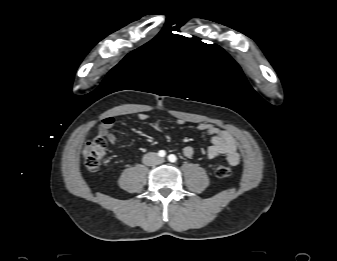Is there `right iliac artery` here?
Masks as SVG:
<instances>
[{
    "label": "right iliac artery",
    "mask_w": 337,
    "mask_h": 261,
    "mask_svg": "<svg viewBox=\"0 0 337 261\" xmlns=\"http://www.w3.org/2000/svg\"><path fill=\"white\" fill-rule=\"evenodd\" d=\"M158 155H159L160 157H164V156L166 155V152H165L164 150H160V151L158 152Z\"/></svg>",
    "instance_id": "obj_1"
}]
</instances>
